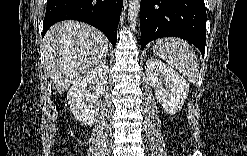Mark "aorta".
Returning <instances> with one entry per match:
<instances>
[{
	"mask_svg": "<svg viewBox=\"0 0 247 156\" xmlns=\"http://www.w3.org/2000/svg\"><path fill=\"white\" fill-rule=\"evenodd\" d=\"M140 0H129L128 1V19L130 23V27L135 29L137 18L139 15L140 9Z\"/></svg>",
	"mask_w": 247,
	"mask_h": 156,
	"instance_id": "obj_1",
	"label": "aorta"
}]
</instances>
